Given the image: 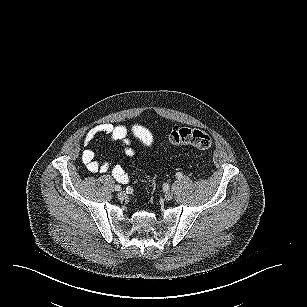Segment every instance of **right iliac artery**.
Listing matches in <instances>:
<instances>
[{
    "mask_svg": "<svg viewBox=\"0 0 307 307\" xmlns=\"http://www.w3.org/2000/svg\"><path fill=\"white\" fill-rule=\"evenodd\" d=\"M115 190L116 191H120L121 190V187L119 185H115Z\"/></svg>",
    "mask_w": 307,
    "mask_h": 307,
    "instance_id": "right-iliac-artery-1",
    "label": "right iliac artery"
}]
</instances>
